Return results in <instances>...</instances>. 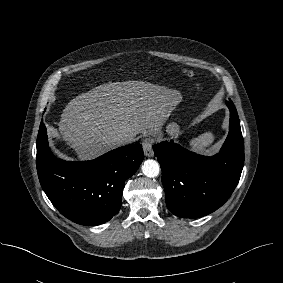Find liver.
<instances>
[{
	"label": "liver",
	"instance_id": "obj_1",
	"mask_svg": "<svg viewBox=\"0 0 283 283\" xmlns=\"http://www.w3.org/2000/svg\"><path fill=\"white\" fill-rule=\"evenodd\" d=\"M182 101L178 90L144 81L109 82L82 93L64 108L59 137L80 160L93 159L117 146L118 135L157 136Z\"/></svg>",
	"mask_w": 283,
	"mask_h": 283
}]
</instances>
